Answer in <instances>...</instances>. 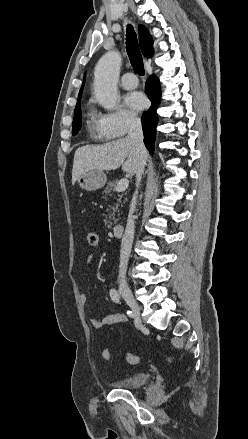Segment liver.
Instances as JSON below:
<instances>
[{
  "label": "liver",
  "instance_id": "obj_1",
  "mask_svg": "<svg viewBox=\"0 0 248 439\" xmlns=\"http://www.w3.org/2000/svg\"><path fill=\"white\" fill-rule=\"evenodd\" d=\"M122 165V170L134 175L139 165V153L127 137L103 145H86L75 151L72 185L78 178L92 170H115Z\"/></svg>",
  "mask_w": 248,
  "mask_h": 439
}]
</instances>
